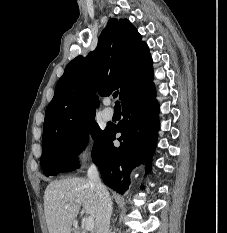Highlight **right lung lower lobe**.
<instances>
[{
    "label": "right lung lower lobe",
    "instance_id": "obj_1",
    "mask_svg": "<svg viewBox=\"0 0 227 233\" xmlns=\"http://www.w3.org/2000/svg\"><path fill=\"white\" fill-rule=\"evenodd\" d=\"M123 119L117 125L107 129L98 150L93 156L104 183L123 194L130 182V172L142 161H150L155 150L159 129V108L155 100L153 83L122 103ZM116 132L120 146L115 147L113 140Z\"/></svg>",
    "mask_w": 227,
    "mask_h": 233
}]
</instances>
